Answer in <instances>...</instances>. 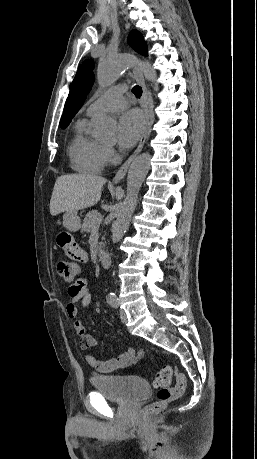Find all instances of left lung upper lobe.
I'll return each mask as SVG.
<instances>
[{"label":"left lung upper lobe","mask_w":257,"mask_h":459,"mask_svg":"<svg viewBox=\"0 0 257 459\" xmlns=\"http://www.w3.org/2000/svg\"><path fill=\"white\" fill-rule=\"evenodd\" d=\"M129 45L138 53L147 55V45L143 36L136 30H132L128 37ZM93 60H85L79 67L71 84L70 93L65 103L60 126L66 127L81 108L87 94L91 90L94 81Z\"/></svg>","instance_id":"1"}]
</instances>
